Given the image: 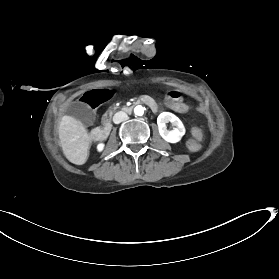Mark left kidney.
Returning <instances> with one entry per match:
<instances>
[{
  "label": "left kidney",
  "instance_id": "left-kidney-1",
  "mask_svg": "<svg viewBox=\"0 0 279 279\" xmlns=\"http://www.w3.org/2000/svg\"><path fill=\"white\" fill-rule=\"evenodd\" d=\"M171 122L173 130H168L166 123ZM158 129L161 137L167 142L176 143L185 134V127L182 121L173 113L162 112L157 118Z\"/></svg>",
  "mask_w": 279,
  "mask_h": 279
}]
</instances>
